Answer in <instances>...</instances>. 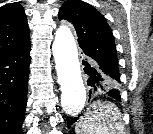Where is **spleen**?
<instances>
[{
	"mask_svg": "<svg viewBox=\"0 0 153 134\" xmlns=\"http://www.w3.org/2000/svg\"><path fill=\"white\" fill-rule=\"evenodd\" d=\"M122 114L114 104L93 103L76 124V134H124Z\"/></svg>",
	"mask_w": 153,
	"mask_h": 134,
	"instance_id": "spleen-1",
	"label": "spleen"
}]
</instances>
